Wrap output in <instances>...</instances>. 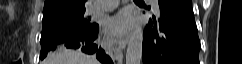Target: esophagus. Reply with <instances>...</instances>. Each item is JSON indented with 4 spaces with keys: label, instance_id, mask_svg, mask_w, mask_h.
<instances>
[{
    "label": "esophagus",
    "instance_id": "esophagus-1",
    "mask_svg": "<svg viewBox=\"0 0 242 64\" xmlns=\"http://www.w3.org/2000/svg\"><path fill=\"white\" fill-rule=\"evenodd\" d=\"M130 39V33H128L124 38L118 41V45L121 49H125Z\"/></svg>",
    "mask_w": 242,
    "mask_h": 64
}]
</instances>
